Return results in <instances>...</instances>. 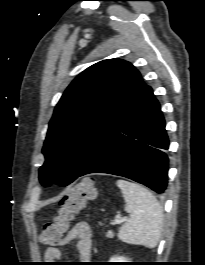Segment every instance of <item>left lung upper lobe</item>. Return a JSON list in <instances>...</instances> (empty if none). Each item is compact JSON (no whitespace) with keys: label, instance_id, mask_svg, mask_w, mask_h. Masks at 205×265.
<instances>
[{"label":"left lung upper lobe","instance_id":"5c2ea615","mask_svg":"<svg viewBox=\"0 0 205 265\" xmlns=\"http://www.w3.org/2000/svg\"><path fill=\"white\" fill-rule=\"evenodd\" d=\"M148 86L139 71L121 59L100 61L78 75L55 107L42 149L43 185L73 182L118 129Z\"/></svg>","mask_w":205,"mask_h":265}]
</instances>
